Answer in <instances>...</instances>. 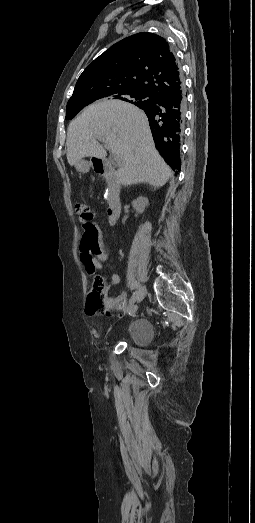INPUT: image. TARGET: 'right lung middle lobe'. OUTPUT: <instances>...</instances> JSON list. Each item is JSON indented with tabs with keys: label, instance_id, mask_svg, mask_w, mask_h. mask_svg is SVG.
Masks as SVG:
<instances>
[{
	"label": "right lung middle lobe",
	"instance_id": "dd1d6c3e",
	"mask_svg": "<svg viewBox=\"0 0 255 523\" xmlns=\"http://www.w3.org/2000/svg\"><path fill=\"white\" fill-rule=\"evenodd\" d=\"M147 97H148V95L143 92H125L123 94L114 96L113 98L132 103L134 101H140ZM89 104L90 103L68 105L66 107V119L70 120V119L74 118L80 110H82L85 106H87Z\"/></svg>",
	"mask_w": 255,
	"mask_h": 523
}]
</instances>
